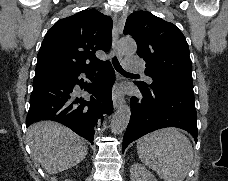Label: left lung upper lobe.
Instances as JSON below:
<instances>
[{
  "instance_id": "obj_1",
  "label": "left lung upper lobe",
  "mask_w": 228,
  "mask_h": 181,
  "mask_svg": "<svg viewBox=\"0 0 228 181\" xmlns=\"http://www.w3.org/2000/svg\"><path fill=\"white\" fill-rule=\"evenodd\" d=\"M124 34L135 39L137 54L146 62L149 77L193 89L189 47L174 24L141 10L127 18Z\"/></svg>"
}]
</instances>
